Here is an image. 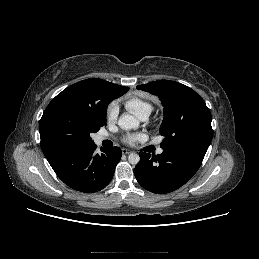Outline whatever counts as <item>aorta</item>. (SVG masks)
Returning <instances> with one entry per match:
<instances>
[{"mask_svg": "<svg viewBox=\"0 0 259 259\" xmlns=\"http://www.w3.org/2000/svg\"><path fill=\"white\" fill-rule=\"evenodd\" d=\"M118 125L124 130L137 129L139 127V120L129 114H123L118 120ZM128 161L132 165H136L140 161V157L136 153H131L128 156Z\"/></svg>", "mask_w": 259, "mask_h": 259, "instance_id": "1", "label": "aorta"}]
</instances>
